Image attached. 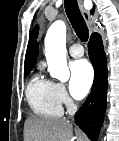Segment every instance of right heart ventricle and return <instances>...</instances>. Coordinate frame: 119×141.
Masks as SVG:
<instances>
[{
  "label": "right heart ventricle",
  "mask_w": 119,
  "mask_h": 141,
  "mask_svg": "<svg viewBox=\"0 0 119 141\" xmlns=\"http://www.w3.org/2000/svg\"><path fill=\"white\" fill-rule=\"evenodd\" d=\"M26 97L33 113L46 118H58L62 115L56 83L36 74L28 83Z\"/></svg>",
  "instance_id": "right-heart-ventricle-1"
}]
</instances>
